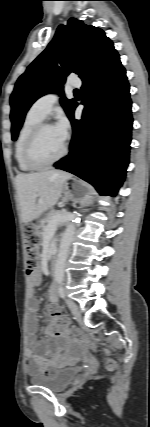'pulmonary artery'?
Here are the masks:
<instances>
[{
	"instance_id": "obj_1",
	"label": "pulmonary artery",
	"mask_w": 150,
	"mask_h": 427,
	"mask_svg": "<svg viewBox=\"0 0 150 427\" xmlns=\"http://www.w3.org/2000/svg\"><path fill=\"white\" fill-rule=\"evenodd\" d=\"M81 86L79 78H71L68 81V87L78 88ZM58 100L57 93H48L38 98L32 105L31 110L41 118H45L52 110L53 106Z\"/></svg>"
}]
</instances>
